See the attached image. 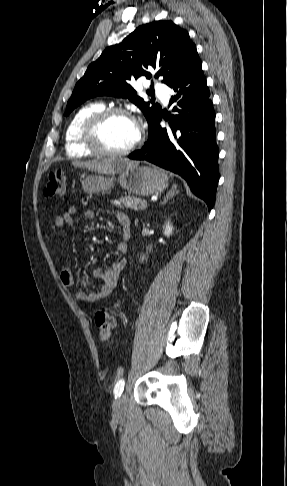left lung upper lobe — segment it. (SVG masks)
I'll return each mask as SVG.
<instances>
[{"mask_svg":"<svg viewBox=\"0 0 287 486\" xmlns=\"http://www.w3.org/2000/svg\"><path fill=\"white\" fill-rule=\"evenodd\" d=\"M196 58V46L187 31L172 21L141 25L88 66L73 90L65 115L92 97L108 95L128 98L143 111L150 127L161 115V106L137 96L134 81L141 76L151 78V70L156 69L155 77H163L162 82L169 85Z\"/></svg>","mask_w":287,"mask_h":486,"instance_id":"1","label":"left lung upper lobe"}]
</instances>
